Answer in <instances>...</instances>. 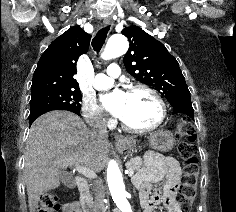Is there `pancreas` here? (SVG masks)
Here are the masks:
<instances>
[{
  "instance_id": "pancreas-1",
  "label": "pancreas",
  "mask_w": 236,
  "mask_h": 212,
  "mask_svg": "<svg viewBox=\"0 0 236 212\" xmlns=\"http://www.w3.org/2000/svg\"><path fill=\"white\" fill-rule=\"evenodd\" d=\"M143 166V161L141 157H134L126 163V167L133 172L139 171Z\"/></svg>"
}]
</instances>
